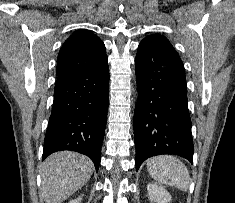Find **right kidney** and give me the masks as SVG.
Wrapping results in <instances>:
<instances>
[{"label": "right kidney", "mask_w": 235, "mask_h": 203, "mask_svg": "<svg viewBox=\"0 0 235 203\" xmlns=\"http://www.w3.org/2000/svg\"><path fill=\"white\" fill-rule=\"evenodd\" d=\"M81 201V197L75 199V200H71L69 203H80Z\"/></svg>", "instance_id": "obj_1"}]
</instances>
